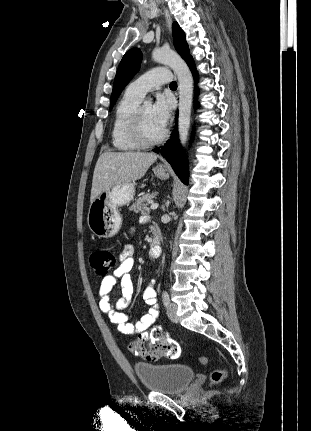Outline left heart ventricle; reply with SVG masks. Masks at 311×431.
Segmentation results:
<instances>
[{
	"instance_id": "obj_1",
	"label": "left heart ventricle",
	"mask_w": 311,
	"mask_h": 431,
	"mask_svg": "<svg viewBox=\"0 0 311 431\" xmlns=\"http://www.w3.org/2000/svg\"><path fill=\"white\" fill-rule=\"evenodd\" d=\"M144 128L148 139L159 138L164 129H162L154 120L152 115V107L150 105L143 106Z\"/></svg>"
}]
</instances>
